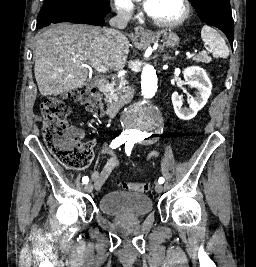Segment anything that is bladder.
<instances>
[{
  "label": "bladder",
  "mask_w": 256,
  "mask_h": 267,
  "mask_svg": "<svg viewBox=\"0 0 256 267\" xmlns=\"http://www.w3.org/2000/svg\"><path fill=\"white\" fill-rule=\"evenodd\" d=\"M99 208L102 212L122 217H141L151 212V198L148 195H121L108 192L101 196Z\"/></svg>",
  "instance_id": "1"
}]
</instances>
